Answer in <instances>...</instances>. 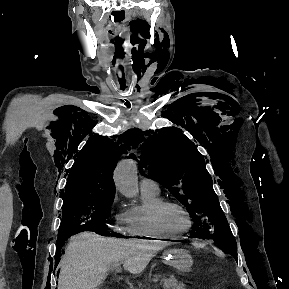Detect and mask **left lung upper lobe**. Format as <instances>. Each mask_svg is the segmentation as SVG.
<instances>
[{"instance_id": "left-lung-upper-lobe-1", "label": "left lung upper lobe", "mask_w": 289, "mask_h": 289, "mask_svg": "<svg viewBox=\"0 0 289 289\" xmlns=\"http://www.w3.org/2000/svg\"><path fill=\"white\" fill-rule=\"evenodd\" d=\"M141 161L148 175L165 186L194 219L191 237L213 239L237 260L236 241L213 189L205 161L179 131L162 130L143 143ZM204 235V236H203Z\"/></svg>"}]
</instances>
